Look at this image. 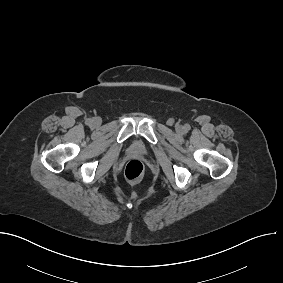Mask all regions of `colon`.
I'll use <instances>...</instances> for the list:
<instances>
[{
  "label": "colon",
  "instance_id": "1",
  "mask_svg": "<svg viewBox=\"0 0 283 283\" xmlns=\"http://www.w3.org/2000/svg\"><path fill=\"white\" fill-rule=\"evenodd\" d=\"M145 174V167L139 160L129 161L124 169L125 178L134 184L140 183Z\"/></svg>",
  "mask_w": 283,
  "mask_h": 283
}]
</instances>
